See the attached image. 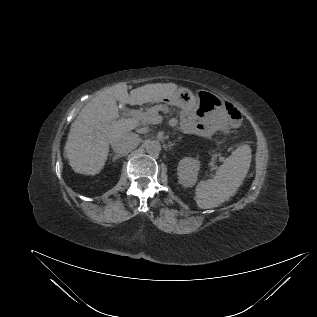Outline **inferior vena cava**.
Instances as JSON below:
<instances>
[{
    "label": "inferior vena cava",
    "mask_w": 317,
    "mask_h": 317,
    "mask_svg": "<svg viewBox=\"0 0 317 317\" xmlns=\"http://www.w3.org/2000/svg\"><path fill=\"white\" fill-rule=\"evenodd\" d=\"M140 142V138L137 134L128 133L118 139L112 144V149L121 156L127 155L131 150L135 149Z\"/></svg>",
    "instance_id": "602c4592"
}]
</instances>
